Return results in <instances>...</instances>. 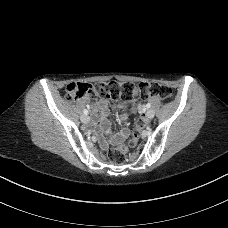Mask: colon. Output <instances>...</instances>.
<instances>
[{
	"label": "colon",
	"mask_w": 228,
	"mask_h": 228,
	"mask_svg": "<svg viewBox=\"0 0 228 228\" xmlns=\"http://www.w3.org/2000/svg\"><path fill=\"white\" fill-rule=\"evenodd\" d=\"M134 96H140L143 99L150 97H158L163 100L172 98V90L160 83L145 82L140 84H133L130 82H99L94 85L85 82H73L66 87V99L69 101L89 98L93 100L91 107L96 110L98 106L94 100L97 98H119L124 101L132 99ZM145 126V121L140 118L136 130L132 138L128 142V147H134L138 141V133ZM126 145H118L110 149L108 158L112 163L121 164L125 160L127 152Z\"/></svg>",
	"instance_id": "5ec220e1"
}]
</instances>
